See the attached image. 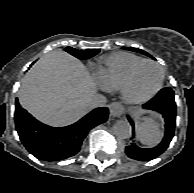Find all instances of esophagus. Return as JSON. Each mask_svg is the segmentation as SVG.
<instances>
[{"instance_id":"34e87169","label":"esophagus","mask_w":194,"mask_h":193,"mask_svg":"<svg viewBox=\"0 0 194 193\" xmlns=\"http://www.w3.org/2000/svg\"><path fill=\"white\" fill-rule=\"evenodd\" d=\"M108 107H109L110 115L112 117H118L123 110V107L119 102H113L109 104Z\"/></svg>"}]
</instances>
